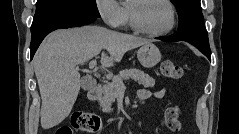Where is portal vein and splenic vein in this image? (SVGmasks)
<instances>
[{
  "label": "portal vein and splenic vein",
  "mask_w": 239,
  "mask_h": 134,
  "mask_svg": "<svg viewBox=\"0 0 239 134\" xmlns=\"http://www.w3.org/2000/svg\"><path fill=\"white\" fill-rule=\"evenodd\" d=\"M89 68H90V69H93V70H98L96 59L91 60V61L89 62ZM119 87H120V88H124L123 82H121V83L119 84Z\"/></svg>",
  "instance_id": "portal-vein-and-splenic-vein-1"
}]
</instances>
